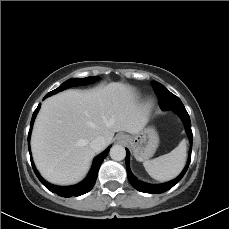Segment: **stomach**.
I'll return each mask as SVG.
<instances>
[{"label":"stomach","instance_id":"stomach-1","mask_svg":"<svg viewBox=\"0 0 229 229\" xmlns=\"http://www.w3.org/2000/svg\"><path fill=\"white\" fill-rule=\"evenodd\" d=\"M128 145L137 161L152 157L159 145V136L152 127L144 128L140 133L128 136Z\"/></svg>","mask_w":229,"mask_h":229}]
</instances>
